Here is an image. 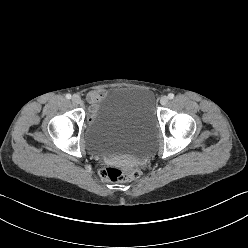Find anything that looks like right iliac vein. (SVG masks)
<instances>
[{"mask_svg": "<svg viewBox=\"0 0 248 248\" xmlns=\"http://www.w3.org/2000/svg\"><path fill=\"white\" fill-rule=\"evenodd\" d=\"M71 99H72V102L74 104H80L81 103V98L79 95H73Z\"/></svg>", "mask_w": 248, "mask_h": 248, "instance_id": "63e3f726", "label": "right iliac vein"}]
</instances>
